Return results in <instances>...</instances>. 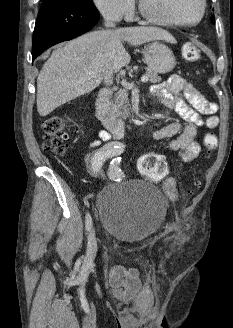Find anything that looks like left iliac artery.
Masks as SVG:
<instances>
[{
  "mask_svg": "<svg viewBox=\"0 0 233 328\" xmlns=\"http://www.w3.org/2000/svg\"><path fill=\"white\" fill-rule=\"evenodd\" d=\"M120 161H121L120 157L113 159L108 172L110 179H113L115 181H120L123 177V172L119 167Z\"/></svg>",
  "mask_w": 233,
  "mask_h": 328,
  "instance_id": "44dca946",
  "label": "left iliac artery"
}]
</instances>
